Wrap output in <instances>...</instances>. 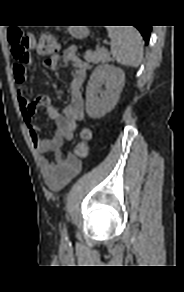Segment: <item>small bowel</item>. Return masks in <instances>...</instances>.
Instances as JSON below:
<instances>
[{
  "instance_id": "1",
  "label": "small bowel",
  "mask_w": 184,
  "mask_h": 292,
  "mask_svg": "<svg viewBox=\"0 0 184 292\" xmlns=\"http://www.w3.org/2000/svg\"><path fill=\"white\" fill-rule=\"evenodd\" d=\"M34 45V39L32 45ZM26 64L17 62L13 67L14 80L18 86L17 99L23 121L31 141L41 158V168L47 186L52 190H60L68 184L81 170V161L71 156L67 160L61 157V148L66 142L74 139L77 124L84 116V100L82 86L90 65L78 56L77 48L69 46L62 55H53L44 61L50 70L72 68L73 75L69 84L70 101L61 112L51 103L47 95H40L34 100L26 96ZM45 108L50 119L55 121V133L50 138H42L39 128L33 123V117L39 108ZM54 153L55 159L46 157Z\"/></svg>"
}]
</instances>
